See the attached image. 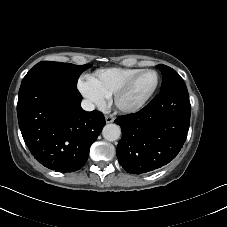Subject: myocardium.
<instances>
[{"instance_id": "myocardium-1", "label": "myocardium", "mask_w": 227, "mask_h": 227, "mask_svg": "<svg viewBox=\"0 0 227 227\" xmlns=\"http://www.w3.org/2000/svg\"><path fill=\"white\" fill-rule=\"evenodd\" d=\"M154 73L156 76V82L153 86V88L151 89V91L147 94V96L141 100L139 103H137L136 105L130 106V107H124L120 104V99L122 98L123 95H125L129 89L131 88V86L133 85V83L135 82V80L142 74L144 73ZM159 82H160V78H159V74L156 70L154 69H142L139 72H137L136 74H134L132 77H130L124 84H122L118 89H116V91L113 93L112 99H113V103L115 105V107L124 113H135L138 112L139 110H141L142 108H144L148 102L151 100V98L153 97V95L155 94L158 86H159Z\"/></svg>"}]
</instances>
